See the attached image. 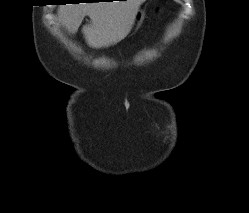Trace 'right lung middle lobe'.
<instances>
[{
	"mask_svg": "<svg viewBox=\"0 0 249 213\" xmlns=\"http://www.w3.org/2000/svg\"><path fill=\"white\" fill-rule=\"evenodd\" d=\"M66 2H74V1H76V0H65Z\"/></svg>",
	"mask_w": 249,
	"mask_h": 213,
	"instance_id": "obj_1",
	"label": "right lung middle lobe"
}]
</instances>
